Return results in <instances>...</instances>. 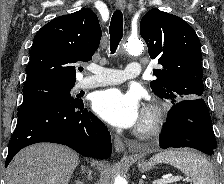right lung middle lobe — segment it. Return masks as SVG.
Instances as JSON below:
<instances>
[{
  "instance_id": "obj_1",
  "label": "right lung middle lobe",
  "mask_w": 224,
  "mask_h": 184,
  "mask_svg": "<svg viewBox=\"0 0 224 184\" xmlns=\"http://www.w3.org/2000/svg\"><path fill=\"white\" fill-rule=\"evenodd\" d=\"M75 83L62 84L55 82H36L25 84L23 87V103L19 108L18 115L29 108L47 103L76 104L81 99L72 95Z\"/></svg>"
}]
</instances>
